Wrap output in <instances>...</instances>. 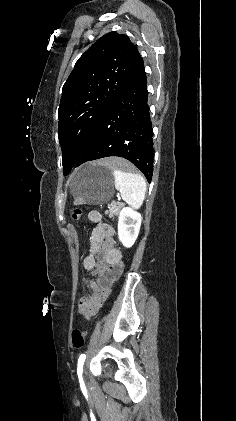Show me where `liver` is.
Here are the masks:
<instances>
[{
  "mask_svg": "<svg viewBox=\"0 0 236 421\" xmlns=\"http://www.w3.org/2000/svg\"><path fill=\"white\" fill-rule=\"evenodd\" d=\"M122 158H115V156H107V158H103V160H99L98 164H104V166H107V164H110V162H121Z\"/></svg>",
  "mask_w": 236,
  "mask_h": 421,
  "instance_id": "1",
  "label": "liver"
}]
</instances>
